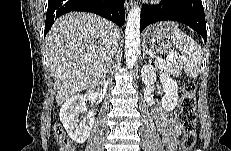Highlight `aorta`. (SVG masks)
<instances>
[{"label":"aorta","mask_w":231,"mask_h":151,"mask_svg":"<svg viewBox=\"0 0 231 151\" xmlns=\"http://www.w3.org/2000/svg\"><path fill=\"white\" fill-rule=\"evenodd\" d=\"M140 7L134 5L129 11L125 28L126 66L133 68L140 53Z\"/></svg>","instance_id":"762f6f07"}]
</instances>
